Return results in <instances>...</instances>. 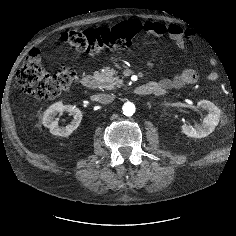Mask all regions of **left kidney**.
Returning a JSON list of instances; mask_svg holds the SVG:
<instances>
[{
    "label": "left kidney",
    "mask_w": 236,
    "mask_h": 236,
    "mask_svg": "<svg viewBox=\"0 0 236 236\" xmlns=\"http://www.w3.org/2000/svg\"><path fill=\"white\" fill-rule=\"evenodd\" d=\"M197 105L207 111L206 117L203 119L201 124L196 126L184 124L182 126V131L188 137L204 138L211 134L219 124L221 110L214 103L208 100H201Z\"/></svg>",
    "instance_id": "left-kidney-1"
}]
</instances>
